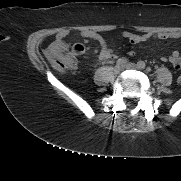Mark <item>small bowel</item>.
Segmentation results:
<instances>
[{"label":"small bowel","mask_w":181,"mask_h":181,"mask_svg":"<svg viewBox=\"0 0 181 181\" xmlns=\"http://www.w3.org/2000/svg\"><path fill=\"white\" fill-rule=\"evenodd\" d=\"M67 35L66 32H60L56 40L54 42V46L61 49H66L67 45L64 42V38ZM82 36L85 38L93 39L99 42L101 51L99 54L100 60L106 59H115L117 54L112 49L107 47V44L103 37L95 31H85L82 33ZM121 36L128 39L132 44H139L148 41L151 38L159 39V40H167V39H178L181 38V32H160L156 34H134L130 32H122ZM163 61L167 59L165 57L162 58ZM169 62L173 65L175 69H181V54L178 51H174L169 57Z\"/></svg>","instance_id":"small-bowel-1"}]
</instances>
